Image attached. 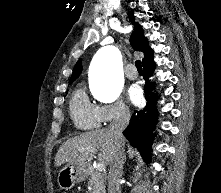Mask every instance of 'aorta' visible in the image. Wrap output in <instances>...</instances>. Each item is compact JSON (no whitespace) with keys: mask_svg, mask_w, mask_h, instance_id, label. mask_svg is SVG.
<instances>
[{"mask_svg":"<svg viewBox=\"0 0 221 193\" xmlns=\"http://www.w3.org/2000/svg\"><path fill=\"white\" fill-rule=\"evenodd\" d=\"M93 94L96 99L111 103L116 101L122 91V62L119 50L113 46L101 48L93 58Z\"/></svg>","mask_w":221,"mask_h":193,"instance_id":"1","label":"aorta"}]
</instances>
